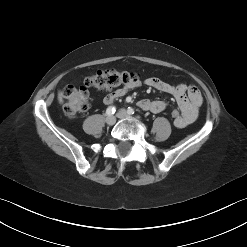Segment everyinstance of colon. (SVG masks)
I'll list each match as a JSON object with an SVG mask.
<instances>
[{"label": "colon", "instance_id": "colon-1", "mask_svg": "<svg viewBox=\"0 0 247 247\" xmlns=\"http://www.w3.org/2000/svg\"><path fill=\"white\" fill-rule=\"evenodd\" d=\"M137 79L136 74L128 71L109 69L99 70L84 80L80 87L68 85L63 89V110L65 115L73 119L88 109V88L112 90L124 87ZM178 110L171 111L173 121L180 118Z\"/></svg>", "mask_w": 247, "mask_h": 247}]
</instances>
